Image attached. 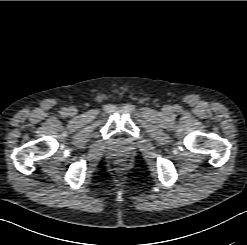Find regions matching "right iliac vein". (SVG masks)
Returning <instances> with one entry per match:
<instances>
[{"label": "right iliac vein", "mask_w": 247, "mask_h": 245, "mask_svg": "<svg viewBox=\"0 0 247 245\" xmlns=\"http://www.w3.org/2000/svg\"><path fill=\"white\" fill-rule=\"evenodd\" d=\"M68 113H69V115L73 116V115H75L77 113V110L74 107H70L68 109Z\"/></svg>", "instance_id": "obj_1"}]
</instances>
